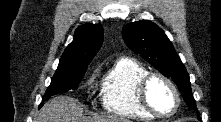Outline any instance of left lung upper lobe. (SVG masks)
<instances>
[{
	"instance_id": "5c2ea615",
	"label": "left lung upper lobe",
	"mask_w": 221,
	"mask_h": 122,
	"mask_svg": "<svg viewBox=\"0 0 221 122\" xmlns=\"http://www.w3.org/2000/svg\"><path fill=\"white\" fill-rule=\"evenodd\" d=\"M122 34L127 46L163 75L171 77L187 106L197 110L189 75L163 30L148 20H141L127 24ZM197 115L199 117V112Z\"/></svg>"
}]
</instances>
